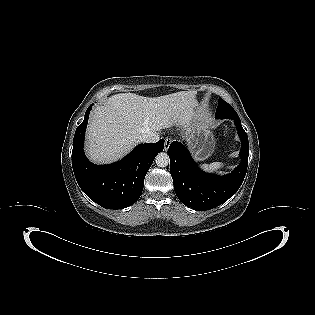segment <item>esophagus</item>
I'll return each instance as SVG.
<instances>
[{
    "instance_id": "obj_1",
    "label": "esophagus",
    "mask_w": 315,
    "mask_h": 315,
    "mask_svg": "<svg viewBox=\"0 0 315 315\" xmlns=\"http://www.w3.org/2000/svg\"><path fill=\"white\" fill-rule=\"evenodd\" d=\"M171 142H172V140H171L170 137H166V138H165V143H164V150H165V151H168Z\"/></svg>"
}]
</instances>
